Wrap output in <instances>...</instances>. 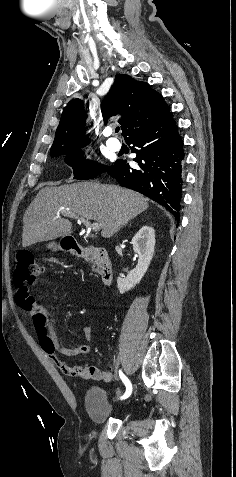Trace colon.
I'll use <instances>...</instances> for the list:
<instances>
[{"instance_id":"1","label":"colon","mask_w":236,"mask_h":477,"mask_svg":"<svg viewBox=\"0 0 236 477\" xmlns=\"http://www.w3.org/2000/svg\"><path fill=\"white\" fill-rule=\"evenodd\" d=\"M41 272L42 268L32 252L22 251L17 254L14 283L17 289L16 301L19 307H26L27 300L32 296L30 291L37 283Z\"/></svg>"}]
</instances>
